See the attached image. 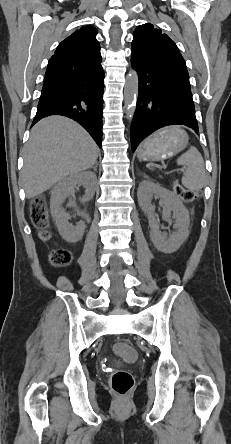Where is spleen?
I'll list each match as a JSON object with an SVG mask.
<instances>
[{
  "label": "spleen",
  "mask_w": 231,
  "mask_h": 444,
  "mask_svg": "<svg viewBox=\"0 0 231 444\" xmlns=\"http://www.w3.org/2000/svg\"><path fill=\"white\" fill-rule=\"evenodd\" d=\"M177 164L185 167L182 176V184L190 190H200L206 184V171L203 157L193 146L183 153L178 159Z\"/></svg>",
  "instance_id": "spleen-1"
}]
</instances>
